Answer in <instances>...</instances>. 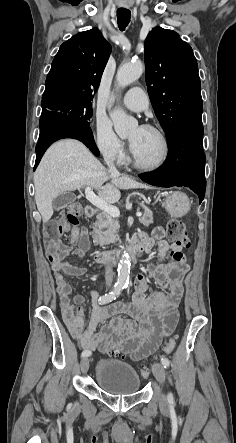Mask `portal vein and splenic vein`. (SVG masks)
Returning a JSON list of instances; mask_svg holds the SVG:
<instances>
[{"label": "portal vein and splenic vein", "instance_id": "18ae733b", "mask_svg": "<svg viewBox=\"0 0 236 443\" xmlns=\"http://www.w3.org/2000/svg\"><path fill=\"white\" fill-rule=\"evenodd\" d=\"M85 196H86V199L91 204H93L95 207L102 210L103 212L109 214L112 217H119L120 216V211L117 207L108 204L103 199L96 196L90 187L85 188ZM136 216L141 217L142 213L137 212Z\"/></svg>", "mask_w": 236, "mask_h": 443}]
</instances>
